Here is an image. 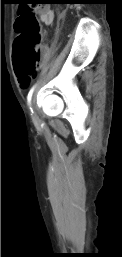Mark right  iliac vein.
Returning a JSON list of instances; mask_svg holds the SVG:
<instances>
[{"label": "right iliac vein", "mask_w": 122, "mask_h": 257, "mask_svg": "<svg viewBox=\"0 0 122 257\" xmlns=\"http://www.w3.org/2000/svg\"><path fill=\"white\" fill-rule=\"evenodd\" d=\"M32 115H33V117H35V114H34V112L32 111Z\"/></svg>", "instance_id": "right-iliac-vein-1"}]
</instances>
